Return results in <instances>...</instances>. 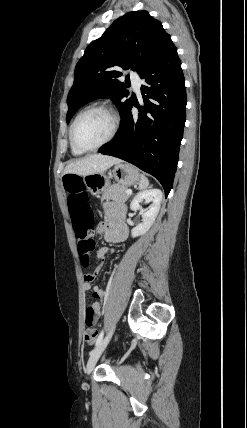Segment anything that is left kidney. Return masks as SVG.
Returning a JSON list of instances; mask_svg holds the SVG:
<instances>
[{
    "instance_id": "1",
    "label": "left kidney",
    "mask_w": 247,
    "mask_h": 428,
    "mask_svg": "<svg viewBox=\"0 0 247 428\" xmlns=\"http://www.w3.org/2000/svg\"><path fill=\"white\" fill-rule=\"evenodd\" d=\"M143 201L152 204L147 209H141L140 203ZM162 201V192L160 189H149L139 192L132 200L130 208L133 211L140 210L142 223L131 230L132 237L140 236L146 233L154 223Z\"/></svg>"
}]
</instances>
